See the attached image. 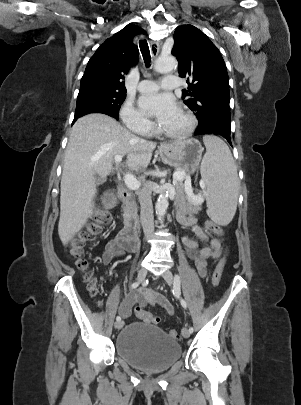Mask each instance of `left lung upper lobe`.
<instances>
[{"mask_svg": "<svg viewBox=\"0 0 301 405\" xmlns=\"http://www.w3.org/2000/svg\"><path fill=\"white\" fill-rule=\"evenodd\" d=\"M173 37L179 76L188 79L182 98H188L184 103L197 116L198 126L216 122L231 126L229 79L219 50L192 25L178 27Z\"/></svg>", "mask_w": 301, "mask_h": 405, "instance_id": "left-lung-upper-lobe-1", "label": "left lung upper lobe"}]
</instances>
